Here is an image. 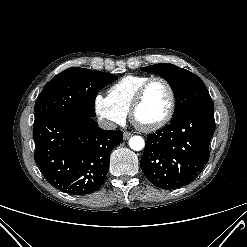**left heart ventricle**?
Wrapping results in <instances>:
<instances>
[{
    "mask_svg": "<svg viewBox=\"0 0 247 247\" xmlns=\"http://www.w3.org/2000/svg\"><path fill=\"white\" fill-rule=\"evenodd\" d=\"M169 105L170 95L166 85L155 81L148 88L143 102L136 111V121L142 125L156 123L166 115Z\"/></svg>",
    "mask_w": 247,
    "mask_h": 247,
    "instance_id": "left-heart-ventricle-1",
    "label": "left heart ventricle"
}]
</instances>
